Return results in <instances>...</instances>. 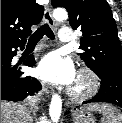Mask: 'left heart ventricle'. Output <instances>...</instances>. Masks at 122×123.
I'll return each instance as SVG.
<instances>
[{"mask_svg":"<svg viewBox=\"0 0 122 123\" xmlns=\"http://www.w3.org/2000/svg\"><path fill=\"white\" fill-rule=\"evenodd\" d=\"M83 85H84V80L76 78L73 86L76 88H81Z\"/></svg>","mask_w":122,"mask_h":123,"instance_id":"left-heart-ventricle-1","label":"left heart ventricle"}]
</instances>
